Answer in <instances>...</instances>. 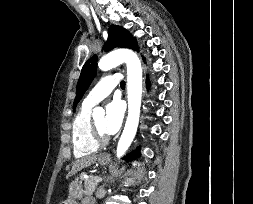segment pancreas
<instances>
[{"instance_id":"1","label":"pancreas","mask_w":253,"mask_h":204,"mask_svg":"<svg viewBox=\"0 0 253 204\" xmlns=\"http://www.w3.org/2000/svg\"><path fill=\"white\" fill-rule=\"evenodd\" d=\"M93 177L94 176H90L88 179L81 178V180L84 181V193L86 195L92 194L96 190V187L98 185L97 182L92 180Z\"/></svg>"}]
</instances>
